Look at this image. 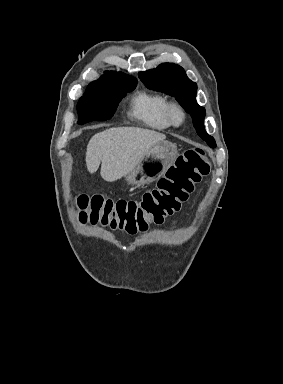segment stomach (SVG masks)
Here are the masks:
<instances>
[{
    "label": "stomach",
    "mask_w": 283,
    "mask_h": 384,
    "mask_svg": "<svg viewBox=\"0 0 283 384\" xmlns=\"http://www.w3.org/2000/svg\"><path fill=\"white\" fill-rule=\"evenodd\" d=\"M176 144L171 142H157L149 148L145 156L138 162L135 170L126 174L125 178L129 186H145L158 180L173 164L177 156Z\"/></svg>",
    "instance_id": "obj_1"
}]
</instances>
